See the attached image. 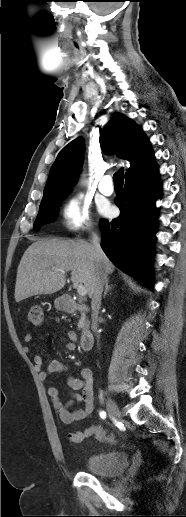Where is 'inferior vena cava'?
Returning a JSON list of instances; mask_svg holds the SVG:
<instances>
[{
  "label": "inferior vena cava",
  "mask_w": 186,
  "mask_h": 517,
  "mask_svg": "<svg viewBox=\"0 0 186 517\" xmlns=\"http://www.w3.org/2000/svg\"><path fill=\"white\" fill-rule=\"evenodd\" d=\"M92 245L96 253L97 260L100 261L104 253L100 246V239L97 236V234L93 233L92 236ZM107 282V273L104 271L103 267L101 265L98 266L94 278L93 283V296H92V330L94 332L97 331L98 327V311L101 304V296L103 292V287ZM97 337H99L97 335Z\"/></svg>",
  "instance_id": "1"
}]
</instances>
